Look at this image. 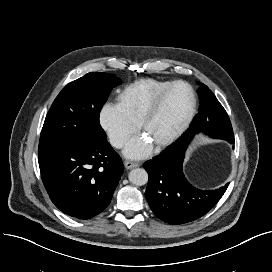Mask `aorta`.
<instances>
[{
    "mask_svg": "<svg viewBox=\"0 0 272 272\" xmlns=\"http://www.w3.org/2000/svg\"><path fill=\"white\" fill-rule=\"evenodd\" d=\"M129 180L136 186L145 185L148 181V174L145 169L136 168L130 171Z\"/></svg>",
    "mask_w": 272,
    "mask_h": 272,
    "instance_id": "aorta-1",
    "label": "aorta"
}]
</instances>
